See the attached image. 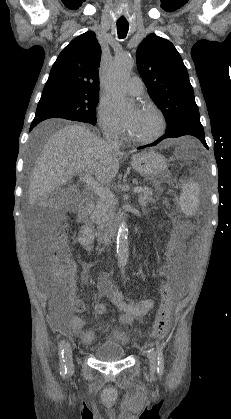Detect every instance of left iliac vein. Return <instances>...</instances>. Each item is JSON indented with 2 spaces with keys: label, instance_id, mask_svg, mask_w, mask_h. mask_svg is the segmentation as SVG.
<instances>
[{
  "label": "left iliac vein",
  "instance_id": "obj_1",
  "mask_svg": "<svg viewBox=\"0 0 231 419\" xmlns=\"http://www.w3.org/2000/svg\"><path fill=\"white\" fill-rule=\"evenodd\" d=\"M148 357L150 362V370L152 373H154L157 367L156 353L153 350H151Z\"/></svg>",
  "mask_w": 231,
  "mask_h": 419
}]
</instances>
